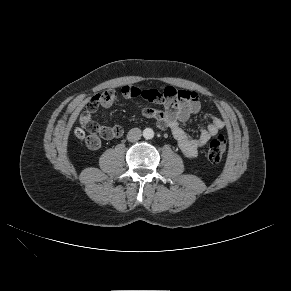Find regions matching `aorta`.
Here are the masks:
<instances>
[{
	"label": "aorta",
	"instance_id": "aorta-1",
	"mask_svg": "<svg viewBox=\"0 0 291 291\" xmlns=\"http://www.w3.org/2000/svg\"><path fill=\"white\" fill-rule=\"evenodd\" d=\"M143 137L145 139H152L154 137V131L151 128H145L143 130Z\"/></svg>",
	"mask_w": 291,
	"mask_h": 291
}]
</instances>
